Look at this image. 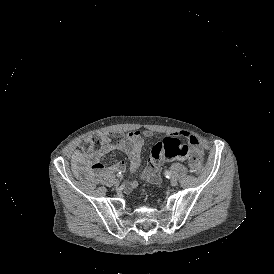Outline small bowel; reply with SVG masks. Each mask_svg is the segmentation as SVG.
Masks as SVG:
<instances>
[{"mask_svg":"<svg viewBox=\"0 0 274 274\" xmlns=\"http://www.w3.org/2000/svg\"><path fill=\"white\" fill-rule=\"evenodd\" d=\"M178 135L188 140L191 150L195 149L203 154L201 143L197 137L185 131H180ZM151 136L152 132L149 130H133L116 142H106L99 151L91 154L77 150L71 157L73 171L76 176L91 181L106 170L105 165L101 162V158L112 151L119 150L126 152L129 156V171L132 174H138L141 168V151L144 139ZM165 148L167 150L164 152ZM188 153L189 150L185 139L175 136L167 138L165 134H155L153 136L152 147L148 152L151 167L149 171L146 170L143 172L142 180L147 183L158 184L161 180L159 173L161 168L177 161L179 163H186L188 161ZM125 167L126 162L120 160L110 169L120 171ZM135 187V181L127 182L125 185L126 190H132Z\"/></svg>","mask_w":274,"mask_h":274,"instance_id":"obj_1","label":"small bowel"}]
</instances>
